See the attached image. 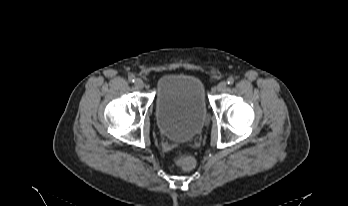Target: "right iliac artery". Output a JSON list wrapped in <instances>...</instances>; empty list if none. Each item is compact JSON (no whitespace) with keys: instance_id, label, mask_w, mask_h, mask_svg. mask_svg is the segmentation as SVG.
I'll return each instance as SVG.
<instances>
[{"instance_id":"82829eb1","label":"right iliac artery","mask_w":348,"mask_h":206,"mask_svg":"<svg viewBox=\"0 0 348 206\" xmlns=\"http://www.w3.org/2000/svg\"><path fill=\"white\" fill-rule=\"evenodd\" d=\"M128 79H129V81L130 82H135V76L134 75H130L129 77H128Z\"/></svg>"}]
</instances>
